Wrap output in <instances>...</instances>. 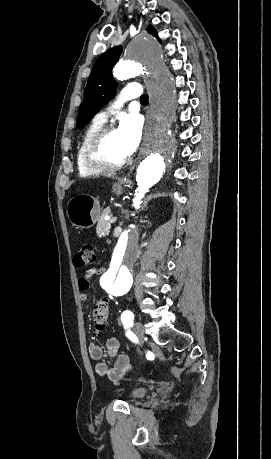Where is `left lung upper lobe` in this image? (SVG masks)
<instances>
[{"label": "left lung upper lobe", "mask_w": 271, "mask_h": 459, "mask_svg": "<svg viewBox=\"0 0 271 459\" xmlns=\"http://www.w3.org/2000/svg\"><path fill=\"white\" fill-rule=\"evenodd\" d=\"M147 32L160 41L152 25L147 27ZM121 52V46L114 47L102 54L96 61L84 91V101L79 107L77 119L79 128L86 125L114 95L117 84L111 71Z\"/></svg>", "instance_id": "5c2ea615"}]
</instances>
